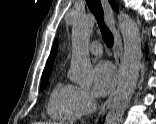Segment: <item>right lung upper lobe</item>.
<instances>
[{"mask_svg": "<svg viewBox=\"0 0 156 124\" xmlns=\"http://www.w3.org/2000/svg\"><path fill=\"white\" fill-rule=\"evenodd\" d=\"M110 4L113 6V8L115 10L118 9L117 7V4L115 1L113 0H109ZM57 49H58V43L57 41L55 40L54 44H53V47H52V50H51V53L49 55V58L47 60V63H46V66L44 68V71H43V74L42 76H45V75H49L51 70H52V66H53V61H54V58H55V55L57 53Z\"/></svg>", "mask_w": 156, "mask_h": 124, "instance_id": "cb5924a9", "label": "right lung upper lobe"}]
</instances>
